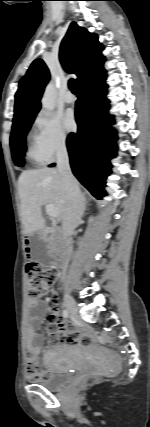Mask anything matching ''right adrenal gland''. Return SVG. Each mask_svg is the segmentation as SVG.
I'll use <instances>...</instances> for the list:
<instances>
[{"mask_svg": "<svg viewBox=\"0 0 150 427\" xmlns=\"http://www.w3.org/2000/svg\"><path fill=\"white\" fill-rule=\"evenodd\" d=\"M83 201H84V211H85L86 210V206L88 204V198L85 195H83Z\"/></svg>", "mask_w": 150, "mask_h": 427, "instance_id": "2a0ac1e0", "label": "right adrenal gland"}]
</instances>
